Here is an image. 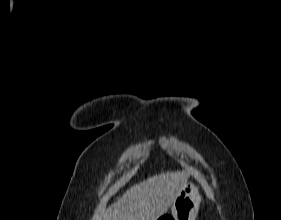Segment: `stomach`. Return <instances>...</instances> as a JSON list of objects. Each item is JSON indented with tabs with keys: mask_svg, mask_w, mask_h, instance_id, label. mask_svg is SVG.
I'll use <instances>...</instances> for the list:
<instances>
[{
	"mask_svg": "<svg viewBox=\"0 0 281 220\" xmlns=\"http://www.w3.org/2000/svg\"><path fill=\"white\" fill-rule=\"evenodd\" d=\"M201 202L200 193L195 185L187 183L172 204V215L160 217V220H195Z\"/></svg>",
	"mask_w": 281,
	"mask_h": 220,
	"instance_id": "stomach-1",
	"label": "stomach"
}]
</instances>
